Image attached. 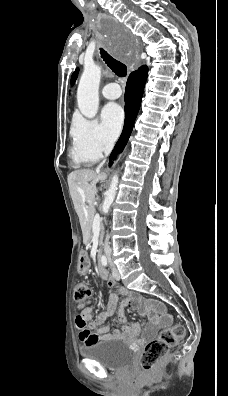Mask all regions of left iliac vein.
Returning <instances> with one entry per match:
<instances>
[{
  "instance_id": "obj_1",
  "label": "left iliac vein",
  "mask_w": 228,
  "mask_h": 396,
  "mask_svg": "<svg viewBox=\"0 0 228 396\" xmlns=\"http://www.w3.org/2000/svg\"><path fill=\"white\" fill-rule=\"evenodd\" d=\"M110 265L112 266V275H113V278H114L115 280H120V273H119V271H118L117 268L112 264L111 261H110Z\"/></svg>"
}]
</instances>
